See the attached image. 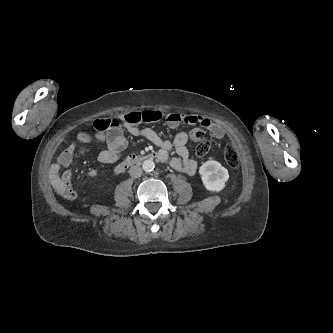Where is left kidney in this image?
Returning a JSON list of instances; mask_svg holds the SVG:
<instances>
[{"label":"left kidney","instance_id":"obj_1","mask_svg":"<svg viewBox=\"0 0 333 333\" xmlns=\"http://www.w3.org/2000/svg\"><path fill=\"white\" fill-rule=\"evenodd\" d=\"M205 188L212 192H219L225 187L229 179L228 171L219 162L209 160L199 169Z\"/></svg>","mask_w":333,"mask_h":333}]
</instances>
